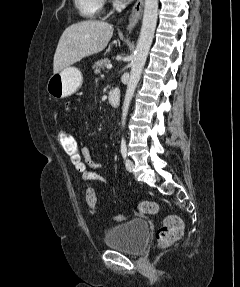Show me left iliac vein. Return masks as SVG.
Masks as SVG:
<instances>
[{
    "label": "left iliac vein",
    "mask_w": 240,
    "mask_h": 287,
    "mask_svg": "<svg viewBox=\"0 0 240 287\" xmlns=\"http://www.w3.org/2000/svg\"><path fill=\"white\" fill-rule=\"evenodd\" d=\"M125 165H126V169H127L129 172H132V171H133V169H134V163H133L132 160L127 159V160L125 161Z\"/></svg>",
    "instance_id": "1"
}]
</instances>
